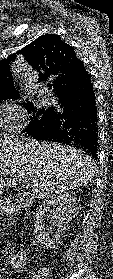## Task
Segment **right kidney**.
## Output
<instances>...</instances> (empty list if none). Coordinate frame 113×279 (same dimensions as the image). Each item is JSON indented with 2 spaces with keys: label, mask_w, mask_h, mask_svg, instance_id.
Here are the masks:
<instances>
[{
  "label": "right kidney",
  "mask_w": 113,
  "mask_h": 279,
  "mask_svg": "<svg viewBox=\"0 0 113 279\" xmlns=\"http://www.w3.org/2000/svg\"><path fill=\"white\" fill-rule=\"evenodd\" d=\"M76 209V195L74 192L63 193L39 206L34 219V233L38 242L45 249L55 248L62 240L69 222ZM48 212L52 215H48ZM50 218L54 228L45 225L44 219Z\"/></svg>",
  "instance_id": "1"
}]
</instances>
